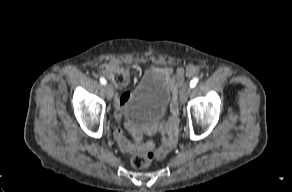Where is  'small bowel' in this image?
<instances>
[{
    "mask_svg": "<svg viewBox=\"0 0 292 192\" xmlns=\"http://www.w3.org/2000/svg\"><path fill=\"white\" fill-rule=\"evenodd\" d=\"M156 75L161 77L173 90L177 89L181 85L184 79V73L188 76H193L198 72V69L194 65H188L186 69L178 67L176 71L170 67L153 68L152 70ZM128 92L120 94L116 99V111L115 118L117 121L121 118L122 108L125 104ZM171 111L173 115L178 112L176 101H173L171 105ZM128 127L132 133L133 141H130L125 135L124 131L118 127L115 130L116 140L122 151L129 154H144L147 151L155 152L156 156H164L176 142V124L175 120L167 123H163L157 127H148L144 130L136 128L131 122L128 123ZM159 133L161 135V143L156 147L153 141L144 142L145 135H153Z\"/></svg>",
    "mask_w": 292,
    "mask_h": 192,
    "instance_id": "obj_1",
    "label": "small bowel"
}]
</instances>
